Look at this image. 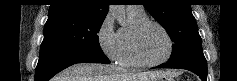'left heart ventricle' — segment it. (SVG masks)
<instances>
[{
  "label": "left heart ventricle",
  "mask_w": 237,
  "mask_h": 81,
  "mask_svg": "<svg viewBox=\"0 0 237 81\" xmlns=\"http://www.w3.org/2000/svg\"><path fill=\"white\" fill-rule=\"evenodd\" d=\"M139 46L143 58L150 62L163 59L168 52V41L161 30L155 26H149L144 30Z\"/></svg>",
  "instance_id": "obj_1"
}]
</instances>
